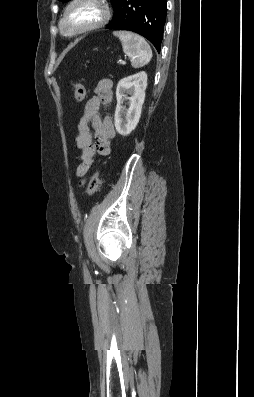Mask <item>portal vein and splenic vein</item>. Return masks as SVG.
Returning <instances> with one entry per match:
<instances>
[{"label":"portal vein and splenic vein","instance_id":"18ae733b","mask_svg":"<svg viewBox=\"0 0 254 397\" xmlns=\"http://www.w3.org/2000/svg\"><path fill=\"white\" fill-rule=\"evenodd\" d=\"M119 63H120V64H126V62L123 61V60H120Z\"/></svg>","mask_w":254,"mask_h":397}]
</instances>
